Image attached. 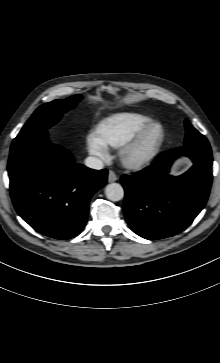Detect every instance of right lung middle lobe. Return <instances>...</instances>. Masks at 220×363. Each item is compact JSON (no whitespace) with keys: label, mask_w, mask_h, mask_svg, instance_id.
<instances>
[{"label":"right lung middle lobe","mask_w":220,"mask_h":363,"mask_svg":"<svg viewBox=\"0 0 220 363\" xmlns=\"http://www.w3.org/2000/svg\"><path fill=\"white\" fill-rule=\"evenodd\" d=\"M80 99V95H74L65 100H54L41 105L13 140L11 148L38 133L46 131L60 119L65 111L75 107Z\"/></svg>","instance_id":"right-lung-middle-lobe-1"}]
</instances>
